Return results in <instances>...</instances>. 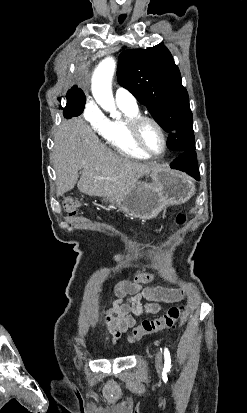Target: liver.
I'll return each instance as SVG.
<instances>
[{"mask_svg":"<svg viewBox=\"0 0 247 413\" xmlns=\"http://www.w3.org/2000/svg\"><path fill=\"white\" fill-rule=\"evenodd\" d=\"M53 164L56 170L57 196L77 186L90 196H120L141 176L156 168L154 162H139L105 146L77 116L64 120L54 138Z\"/></svg>","mask_w":247,"mask_h":413,"instance_id":"liver-1","label":"liver"}]
</instances>
